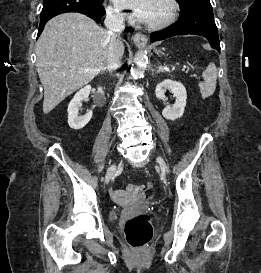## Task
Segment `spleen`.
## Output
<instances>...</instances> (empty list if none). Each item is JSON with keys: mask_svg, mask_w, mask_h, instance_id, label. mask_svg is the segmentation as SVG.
I'll return each instance as SVG.
<instances>
[{"mask_svg": "<svg viewBox=\"0 0 261 273\" xmlns=\"http://www.w3.org/2000/svg\"><path fill=\"white\" fill-rule=\"evenodd\" d=\"M204 79L199 83L200 93L203 99L211 96L216 89L217 68L214 63H209L202 73Z\"/></svg>", "mask_w": 261, "mask_h": 273, "instance_id": "3e777b00", "label": "spleen"}]
</instances>
